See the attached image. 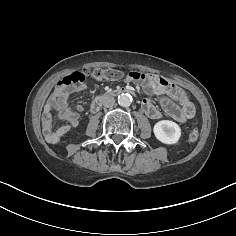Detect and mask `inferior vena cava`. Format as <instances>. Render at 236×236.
I'll list each match as a JSON object with an SVG mask.
<instances>
[{
  "mask_svg": "<svg viewBox=\"0 0 236 236\" xmlns=\"http://www.w3.org/2000/svg\"><path fill=\"white\" fill-rule=\"evenodd\" d=\"M103 106L106 108H111L115 104V99L112 96H105L102 100Z\"/></svg>",
  "mask_w": 236,
  "mask_h": 236,
  "instance_id": "602c4592",
  "label": "inferior vena cava"
}]
</instances>
